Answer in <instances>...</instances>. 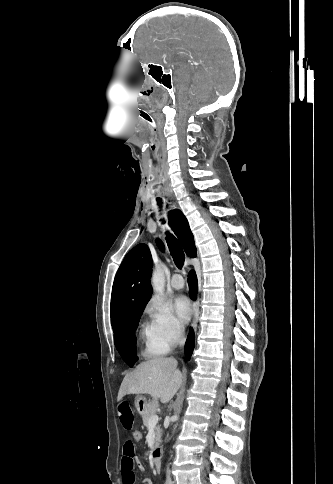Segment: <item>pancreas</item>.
<instances>
[{
  "label": "pancreas",
  "instance_id": "obj_1",
  "mask_svg": "<svg viewBox=\"0 0 333 484\" xmlns=\"http://www.w3.org/2000/svg\"><path fill=\"white\" fill-rule=\"evenodd\" d=\"M158 406H159L158 401L156 399L151 400L149 402L146 410L142 414V420L145 427L149 428V424H148L149 419L157 413ZM161 436H162V430L160 429V426L155 427V440H154L155 446H158L159 443L161 442Z\"/></svg>",
  "mask_w": 333,
  "mask_h": 484
}]
</instances>
